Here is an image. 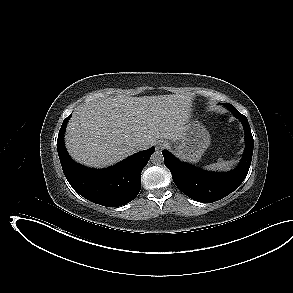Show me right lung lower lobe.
<instances>
[{"label":"right lung lower lobe","instance_id":"1","mask_svg":"<svg viewBox=\"0 0 293 293\" xmlns=\"http://www.w3.org/2000/svg\"><path fill=\"white\" fill-rule=\"evenodd\" d=\"M68 116L61 126L57 150L64 174L72 188L87 200L107 207H118L132 201L141 189V172L154 147L140 151L105 169H93L74 162L64 145Z\"/></svg>","mask_w":293,"mask_h":293}]
</instances>
